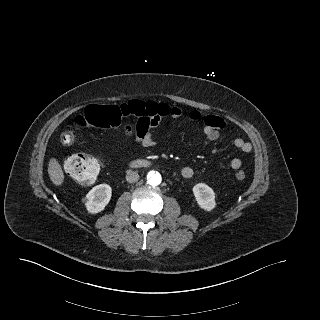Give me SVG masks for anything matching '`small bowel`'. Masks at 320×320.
Instances as JSON below:
<instances>
[{"label":"small bowel","mask_w":320,"mask_h":320,"mask_svg":"<svg viewBox=\"0 0 320 320\" xmlns=\"http://www.w3.org/2000/svg\"><path fill=\"white\" fill-rule=\"evenodd\" d=\"M165 106L167 107V112L164 115H168L172 119L181 117L182 112L178 107ZM154 117L155 116L151 118L146 114L144 122L140 124L137 122L136 124L135 141L143 147H152L157 143L154 138V130L158 126V122H152ZM186 117L190 121L204 123V135L207 142L216 141L219 138V131L224 128L223 120L216 116H205L198 111H190L186 114ZM133 131L134 130L130 125H126L124 128V133L127 138L131 137ZM234 146L242 153H249L252 150V145L241 138H236L234 140ZM230 166L233 170L239 169L242 166L241 159L233 158L230 162ZM181 174L184 178L188 179L194 175V170L191 167H184Z\"/></svg>","instance_id":"obj_1"}]
</instances>
